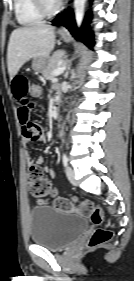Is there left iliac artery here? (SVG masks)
I'll return each mask as SVG.
<instances>
[{
    "instance_id": "44dca946",
    "label": "left iliac artery",
    "mask_w": 134,
    "mask_h": 281,
    "mask_svg": "<svg viewBox=\"0 0 134 281\" xmlns=\"http://www.w3.org/2000/svg\"><path fill=\"white\" fill-rule=\"evenodd\" d=\"M63 164H64V166H67V164H68V157L66 154H63Z\"/></svg>"
}]
</instances>
